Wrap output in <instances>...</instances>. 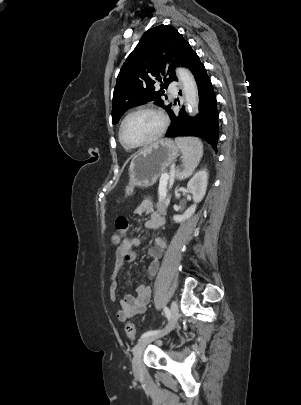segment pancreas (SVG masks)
I'll list each match as a JSON object with an SVG mask.
<instances>
[{"label":"pancreas","instance_id":"1","mask_svg":"<svg viewBox=\"0 0 301 405\" xmlns=\"http://www.w3.org/2000/svg\"><path fill=\"white\" fill-rule=\"evenodd\" d=\"M168 205H169V198H166V196L162 197L161 195H159V199L156 204L157 210L160 213H166V209H167Z\"/></svg>","mask_w":301,"mask_h":405}]
</instances>
